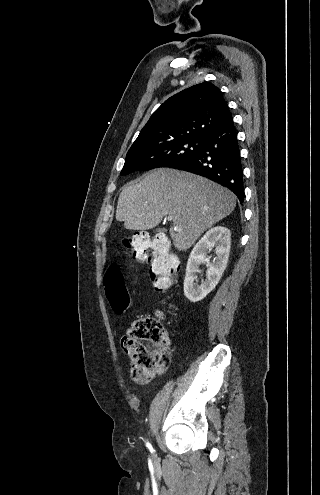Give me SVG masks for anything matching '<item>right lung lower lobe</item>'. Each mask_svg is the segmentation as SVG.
<instances>
[{
    "instance_id": "1",
    "label": "right lung lower lobe",
    "mask_w": 320,
    "mask_h": 495,
    "mask_svg": "<svg viewBox=\"0 0 320 495\" xmlns=\"http://www.w3.org/2000/svg\"><path fill=\"white\" fill-rule=\"evenodd\" d=\"M172 168L209 178L244 201L243 167L233 120L210 132L194 156Z\"/></svg>"
}]
</instances>
